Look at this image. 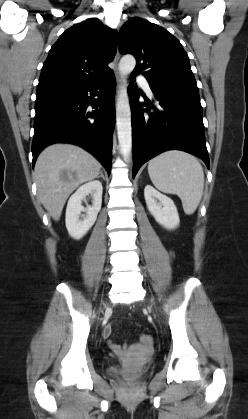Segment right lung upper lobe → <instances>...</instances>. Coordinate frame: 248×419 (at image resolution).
Here are the masks:
<instances>
[{"instance_id": "right-lung-upper-lobe-1", "label": "right lung upper lobe", "mask_w": 248, "mask_h": 419, "mask_svg": "<svg viewBox=\"0 0 248 419\" xmlns=\"http://www.w3.org/2000/svg\"><path fill=\"white\" fill-rule=\"evenodd\" d=\"M116 31L93 18L67 29L43 64L37 93L68 89L102 78L116 54Z\"/></svg>"}]
</instances>
